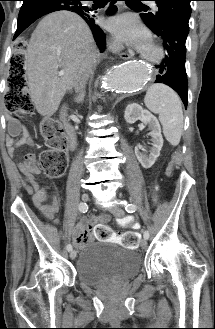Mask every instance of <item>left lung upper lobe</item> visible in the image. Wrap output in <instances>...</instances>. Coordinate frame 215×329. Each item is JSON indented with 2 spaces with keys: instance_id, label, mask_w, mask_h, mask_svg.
<instances>
[{
  "instance_id": "5c2ea615",
  "label": "left lung upper lobe",
  "mask_w": 215,
  "mask_h": 329,
  "mask_svg": "<svg viewBox=\"0 0 215 329\" xmlns=\"http://www.w3.org/2000/svg\"><path fill=\"white\" fill-rule=\"evenodd\" d=\"M157 3L158 12L141 13V17L148 28L158 30L162 24L167 23L189 33V18L192 0H153Z\"/></svg>"
}]
</instances>
